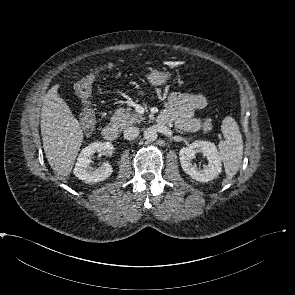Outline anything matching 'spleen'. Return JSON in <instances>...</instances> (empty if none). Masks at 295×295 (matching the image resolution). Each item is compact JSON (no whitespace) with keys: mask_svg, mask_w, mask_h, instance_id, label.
Here are the masks:
<instances>
[{"mask_svg":"<svg viewBox=\"0 0 295 295\" xmlns=\"http://www.w3.org/2000/svg\"><path fill=\"white\" fill-rule=\"evenodd\" d=\"M221 130L224 140H221L218 145L219 156L223 161L227 179H232L241 164L243 140L237 123L230 116L222 121Z\"/></svg>","mask_w":295,"mask_h":295,"instance_id":"3e777b00","label":"spleen"}]
</instances>
